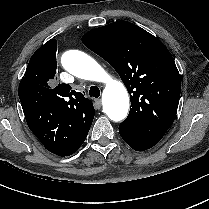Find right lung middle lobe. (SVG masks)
Returning a JSON list of instances; mask_svg holds the SVG:
<instances>
[{"instance_id":"right-lung-middle-lobe-1","label":"right lung middle lobe","mask_w":209,"mask_h":209,"mask_svg":"<svg viewBox=\"0 0 209 209\" xmlns=\"http://www.w3.org/2000/svg\"><path fill=\"white\" fill-rule=\"evenodd\" d=\"M44 79H45L44 76L37 75L33 78L32 81L34 82L35 85H41Z\"/></svg>"}]
</instances>
